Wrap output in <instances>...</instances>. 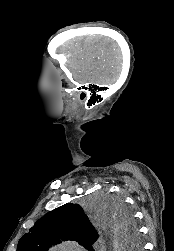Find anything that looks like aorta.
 Masks as SVG:
<instances>
[{
	"label": "aorta",
	"instance_id": "762f6f07",
	"mask_svg": "<svg viewBox=\"0 0 174 251\" xmlns=\"http://www.w3.org/2000/svg\"><path fill=\"white\" fill-rule=\"evenodd\" d=\"M110 232L112 233L113 238H114L115 240H117V239H118V236H119L118 230H117V228H116V225L113 224L112 222H111ZM117 246H120V247H118V248H119L118 250H121V249L123 248V244H117ZM66 250H67V249H66Z\"/></svg>",
	"mask_w": 174,
	"mask_h": 251
}]
</instances>
